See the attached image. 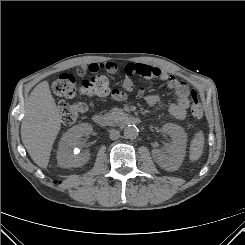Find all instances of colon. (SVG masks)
Instances as JSON below:
<instances>
[{
  "label": "colon",
  "mask_w": 245,
  "mask_h": 245,
  "mask_svg": "<svg viewBox=\"0 0 245 245\" xmlns=\"http://www.w3.org/2000/svg\"><path fill=\"white\" fill-rule=\"evenodd\" d=\"M54 93L63 98L59 104L61 120L64 124L74 123L79 116L86 111V106L81 102H70L76 92V79L71 74H62L53 84ZM80 91L87 96H104L110 92L109 79L104 75H97L91 79L83 81ZM192 115L196 119L203 116V109L198 97L197 90L192 89Z\"/></svg>",
  "instance_id": "colon-1"
}]
</instances>
